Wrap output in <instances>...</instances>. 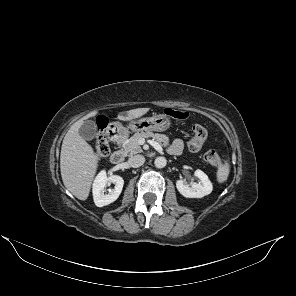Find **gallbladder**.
Here are the masks:
<instances>
[{"instance_id": "gallbladder-1", "label": "gallbladder", "mask_w": 296, "mask_h": 296, "mask_svg": "<svg viewBox=\"0 0 296 296\" xmlns=\"http://www.w3.org/2000/svg\"><path fill=\"white\" fill-rule=\"evenodd\" d=\"M97 132L96 123L92 120L85 121L79 128L80 136L85 140H92Z\"/></svg>"}]
</instances>
